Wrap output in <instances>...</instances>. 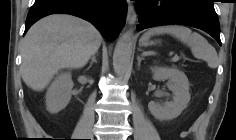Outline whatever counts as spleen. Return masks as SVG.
<instances>
[{"instance_id": "3e777b00", "label": "spleen", "mask_w": 236, "mask_h": 140, "mask_svg": "<svg viewBox=\"0 0 236 140\" xmlns=\"http://www.w3.org/2000/svg\"><path fill=\"white\" fill-rule=\"evenodd\" d=\"M159 34L173 35L182 43L189 46L196 58L206 61L210 68H216L218 66V57L215 49L199 33L192 32L191 29L184 26H161L148 30L142 36L141 40H147L149 37Z\"/></svg>"}]
</instances>
